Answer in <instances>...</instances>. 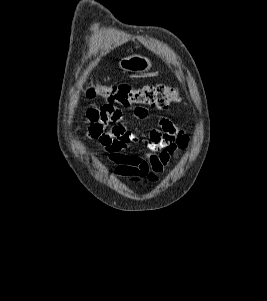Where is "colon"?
Here are the masks:
<instances>
[{
    "instance_id": "1",
    "label": "colon",
    "mask_w": 267,
    "mask_h": 301,
    "mask_svg": "<svg viewBox=\"0 0 267 301\" xmlns=\"http://www.w3.org/2000/svg\"><path fill=\"white\" fill-rule=\"evenodd\" d=\"M88 97L101 96L108 102L129 106L142 104L154 109H167L172 103L180 101L178 91L166 85H146L134 88L130 84L90 85L86 90Z\"/></svg>"
}]
</instances>
